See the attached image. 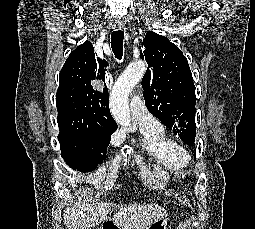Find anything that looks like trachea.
Here are the masks:
<instances>
[{"mask_svg": "<svg viewBox=\"0 0 255 229\" xmlns=\"http://www.w3.org/2000/svg\"><path fill=\"white\" fill-rule=\"evenodd\" d=\"M123 39L124 32L122 30L114 31L111 35V47L115 57L119 60L123 56Z\"/></svg>", "mask_w": 255, "mask_h": 229, "instance_id": "trachea-1", "label": "trachea"}]
</instances>
